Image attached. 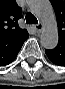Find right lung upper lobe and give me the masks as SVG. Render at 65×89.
<instances>
[{
	"label": "right lung upper lobe",
	"mask_w": 65,
	"mask_h": 89,
	"mask_svg": "<svg viewBox=\"0 0 65 89\" xmlns=\"http://www.w3.org/2000/svg\"><path fill=\"white\" fill-rule=\"evenodd\" d=\"M22 9L15 0H0V49L10 50L29 37L25 29L18 26Z\"/></svg>",
	"instance_id": "obj_1"
}]
</instances>
